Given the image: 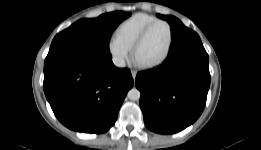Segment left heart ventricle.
I'll return each mask as SVG.
<instances>
[{"instance_id":"left-heart-ventricle-1","label":"left heart ventricle","mask_w":261,"mask_h":150,"mask_svg":"<svg viewBox=\"0 0 261 150\" xmlns=\"http://www.w3.org/2000/svg\"><path fill=\"white\" fill-rule=\"evenodd\" d=\"M169 30L166 25H156L137 52L140 63H152L161 59L168 48Z\"/></svg>"}]
</instances>
